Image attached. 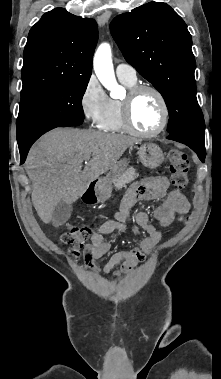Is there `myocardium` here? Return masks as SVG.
<instances>
[{"instance_id": "1", "label": "myocardium", "mask_w": 221, "mask_h": 379, "mask_svg": "<svg viewBox=\"0 0 221 379\" xmlns=\"http://www.w3.org/2000/svg\"><path fill=\"white\" fill-rule=\"evenodd\" d=\"M147 91L153 93L157 97L160 107H161L160 124L157 129L150 132H144V131L139 130L135 126L134 121H133V116H132V106H133L134 100L137 98L138 95ZM122 119H123L125 129L128 132L139 137L152 138V137L158 136L166 128L169 121V107L164 95L156 87L152 85H148V84L134 85L133 87L129 88L126 97L122 100Z\"/></svg>"}]
</instances>
